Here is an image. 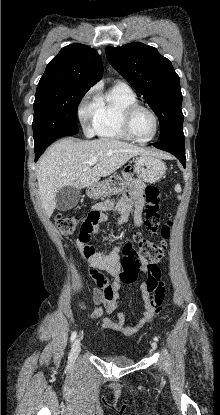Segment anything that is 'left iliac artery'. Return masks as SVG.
<instances>
[{
  "instance_id": "obj_1",
  "label": "left iliac artery",
  "mask_w": 220,
  "mask_h": 415,
  "mask_svg": "<svg viewBox=\"0 0 220 415\" xmlns=\"http://www.w3.org/2000/svg\"><path fill=\"white\" fill-rule=\"evenodd\" d=\"M154 340H155V341H158V337H157V336H155Z\"/></svg>"
}]
</instances>
